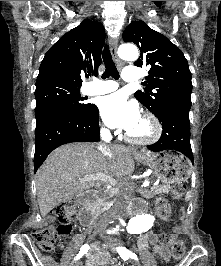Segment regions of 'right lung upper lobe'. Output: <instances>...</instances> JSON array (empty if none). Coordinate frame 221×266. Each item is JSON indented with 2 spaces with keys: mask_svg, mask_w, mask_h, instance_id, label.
I'll list each match as a JSON object with an SVG mask.
<instances>
[{
  "mask_svg": "<svg viewBox=\"0 0 221 266\" xmlns=\"http://www.w3.org/2000/svg\"><path fill=\"white\" fill-rule=\"evenodd\" d=\"M105 30L101 23L85 19L65 33L45 54L36 88L63 85L80 88L84 73L98 74Z\"/></svg>",
  "mask_w": 221,
  "mask_h": 266,
  "instance_id": "right-lung-upper-lobe-1",
  "label": "right lung upper lobe"
}]
</instances>
